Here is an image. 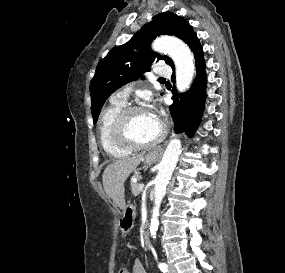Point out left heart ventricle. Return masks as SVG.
<instances>
[{"label": "left heart ventricle", "instance_id": "1", "mask_svg": "<svg viewBox=\"0 0 285 273\" xmlns=\"http://www.w3.org/2000/svg\"><path fill=\"white\" fill-rule=\"evenodd\" d=\"M160 131L157 118L146 110L133 113L127 123V134L135 142L144 143L155 139Z\"/></svg>", "mask_w": 285, "mask_h": 273}]
</instances>
